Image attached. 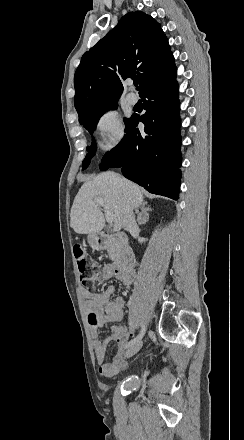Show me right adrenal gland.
<instances>
[{"label":"right adrenal gland","instance_id":"obj_1","mask_svg":"<svg viewBox=\"0 0 244 440\" xmlns=\"http://www.w3.org/2000/svg\"><path fill=\"white\" fill-rule=\"evenodd\" d=\"M147 212H152L150 206H148L147 202H144V204H141L140 212L139 210H136V214L138 216V224L141 226V222L139 220V216H142V214H147Z\"/></svg>","mask_w":244,"mask_h":440}]
</instances>
